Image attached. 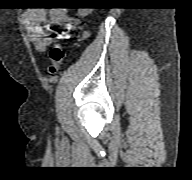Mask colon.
I'll use <instances>...</instances> for the list:
<instances>
[{
  "instance_id": "obj_1",
  "label": "colon",
  "mask_w": 192,
  "mask_h": 180,
  "mask_svg": "<svg viewBox=\"0 0 192 180\" xmlns=\"http://www.w3.org/2000/svg\"><path fill=\"white\" fill-rule=\"evenodd\" d=\"M58 37L65 38V34ZM64 60V50L60 42H55L49 50V67L48 70L51 74H55L62 66Z\"/></svg>"
}]
</instances>
